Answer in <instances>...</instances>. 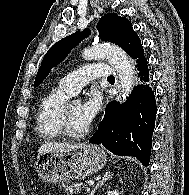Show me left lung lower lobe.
I'll use <instances>...</instances> for the list:
<instances>
[{"label":"left lung lower lobe","instance_id":"obj_1","mask_svg":"<svg viewBox=\"0 0 189 195\" xmlns=\"http://www.w3.org/2000/svg\"><path fill=\"white\" fill-rule=\"evenodd\" d=\"M136 63L140 84L134 87L125 103L112 101L107 105L104 118L89 142L103 144L116 155L136 157L148 166L157 107L149 85L147 59L142 57Z\"/></svg>","mask_w":189,"mask_h":195}]
</instances>
